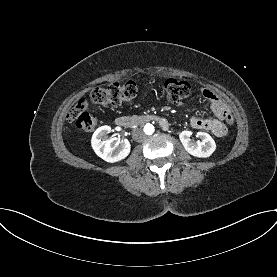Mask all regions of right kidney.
<instances>
[{"mask_svg": "<svg viewBox=\"0 0 277 277\" xmlns=\"http://www.w3.org/2000/svg\"><path fill=\"white\" fill-rule=\"evenodd\" d=\"M111 130V127L108 125L99 127L92 136L91 144L99 157L107 162L114 163L129 155L131 145L127 139L122 140V142L115 136L107 139V134Z\"/></svg>", "mask_w": 277, "mask_h": 277, "instance_id": "right-kidney-1", "label": "right kidney"}]
</instances>
